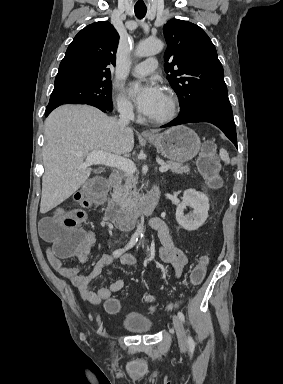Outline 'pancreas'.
<instances>
[{
    "instance_id": "cf45deb5",
    "label": "pancreas",
    "mask_w": 283,
    "mask_h": 384,
    "mask_svg": "<svg viewBox=\"0 0 283 384\" xmlns=\"http://www.w3.org/2000/svg\"><path fill=\"white\" fill-rule=\"evenodd\" d=\"M166 166H169V170H172L175 174H189L190 172L189 166H183V164H177V162H166ZM118 176L121 182L124 180V184L112 186L113 192L111 196L113 202L120 206L123 214H128V212H132L136 200L140 196L136 188L137 178L128 176V174H121V172H119Z\"/></svg>"
}]
</instances>
